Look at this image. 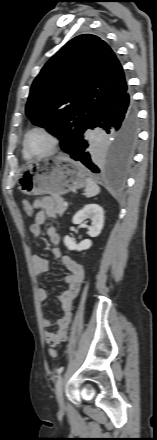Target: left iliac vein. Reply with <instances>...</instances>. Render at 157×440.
Returning a JSON list of instances; mask_svg holds the SVG:
<instances>
[{
  "label": "left iliac vein",
  "mask_w": 157,
  "mask_h": 440,
  "mask_svg": "<svg viewBox=\"0 0 157 440\" xmlns=\"http://www.w3.org/2000/svg\"><path fill=\"white\" fill-rule=\"evenodd\" d=\"M63 377L59 376V378L56 381V385H55V394H56V398L58 401V404L61 408H64L65 404H64V398H63Z\"/></svg>",
  "instance_id": "left-iliac-vein-1"
}]
</instances>
